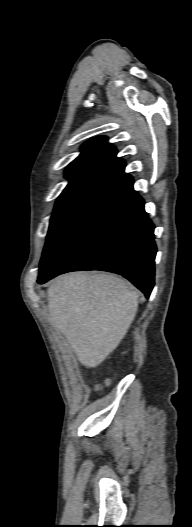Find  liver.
I'll return each mask as SVG.
<instances>
[{"mask_svg": "<svg viewBox=\"0 0 192 527\" xmlns=\"http://www.w3.org/2000/svg\"><path fill=\"white\" fill-rule=\"evenodd\" d=\"M47 294L51 325L88 368L97 367L116 349L138 309V294L131 285L106 273L60 276Z\"/></svg>", "mask_w": 192, "mask_h": 527, "instance_id": "liver-1", "label": "liver"}]
</instances>
